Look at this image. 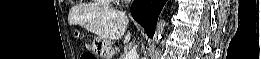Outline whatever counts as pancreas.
Instances as JSON below:
<instances>
[{
  "mask_svg": "<svg viewBox=\"0 0 261 59\" xmlns=\"http://www.w3.org/2000/svg\"><path fill=\"white\" fill-rule=\"evenodd\" d=\"M120 59H125V54H122Z\"/></svg>",
  "mask_w": 261,
  "mask_h": 59,
  "instance_id": "1",
  "label": "pancreas"
}]
</instances>
